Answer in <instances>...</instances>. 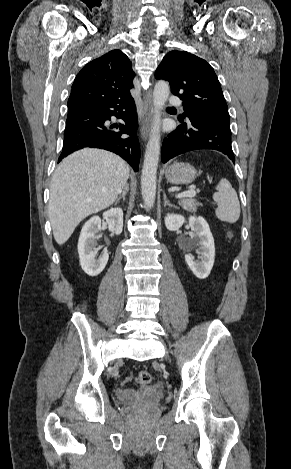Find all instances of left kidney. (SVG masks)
<instances>
[{
    "label": "left kidney",
    "instance_id": "obj_1",
    "mask_svg": "<svg viewBox=\"0 0 291 469\" xmlns=\"http://www.w3.org/2000/svg\"><path fill=\"white\" fill-rule=\"evenodd\" d=\"M185 218L179 214H168L165 217V226L169 231L178 230ZM191 230L195 232L197 239L194 242L198 260L192 254L185 255V261L193 274L199 279H205L209 276L215 259V245L212 233L206 220L202 217H189Z\"/></svg>",
    "mask_w": 291,
    "mask_h": 469
}]
</instances>
